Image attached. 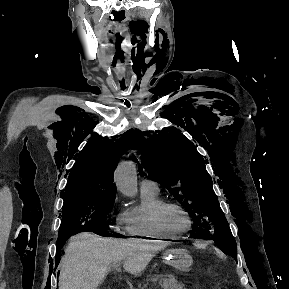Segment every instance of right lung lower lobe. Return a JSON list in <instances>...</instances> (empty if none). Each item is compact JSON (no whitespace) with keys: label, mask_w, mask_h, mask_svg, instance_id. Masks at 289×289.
I'll use <instances>...</instances> for the list:
<instances>
[{"label":"right lung lower lobe","mask_w":289,"mask_h":289,"mask_svg":"<svg viewBox=\"0 0 289 289\" xmlns=\"http://www.w3.org/2000/svg\"><path fill=\"white\" fill-rule=\"evenodd\" d=\"M64 242H65V240H57V250H56V256H55L56 265L60 261V251H61V248H62Z\"/></svg>","instance_id":"98d812e1"}]
</instances>
